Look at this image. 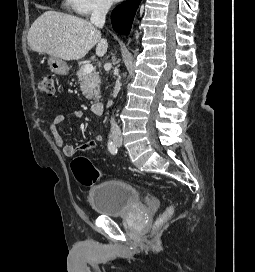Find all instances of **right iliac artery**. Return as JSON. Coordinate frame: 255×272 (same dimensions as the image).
<instances>
[{
    "instance_id": "1",
    "label": "right iliac artery",
    "mask_w": 255,
    "mask_h": 272,
    "mask_svg": "<svg viewBox=\"0 0 255 272\" xmlns=\"http://www.w3.org/2000/svg\"><path fill=\"white\" fill-rule=\"evenodd\" d=\"M108 150L113 155L117 153V147L111 140L108 141Z\"/></svg>"
}]
</instances>
